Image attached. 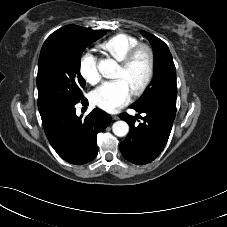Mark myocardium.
Here are the masks:
<instances>
[{"instance_id": "1", "label": "myocardium", "mask_w": 227, "mask_h": 227, "mask_svg": "<svg viewBox=\"0 0 227 227\" xmlns=\"http://www.w3.org/2000/svg\"><path fill=\"white\" fill-rule=\"evenodd\" d=\"M144 54L147 60V73L143 81L139 84V86L132 91L133 96L138 97L142 95L148 86L151 84L156 69V61L154 51L148 44L139 43L131 48L125 57L120 61V68L123 70L129 69L136 59Z\"/></svg>"}]
</instances>
